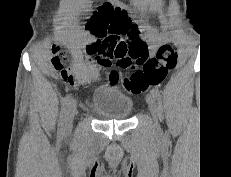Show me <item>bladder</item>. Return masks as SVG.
Returning a JSON list of instances; mask_svg holds the SVG:
<instances>
[{
	"mask_svg": "<svg viewBox=\"0 0 231 177\" xmlns=\"http://www.w3.org/2000/svg\"><path fill=\"white\" fill-rule=\"evenodd\" d=\"M92 107L102 119L126 120L132 115L133 100L118 90L98 87L92 96Z\"/></svg>",
	"mask_w": 231,
	"mask_h": 177,
	"instance_id": "1",
	"label": "bladder"
}]
</instances>
